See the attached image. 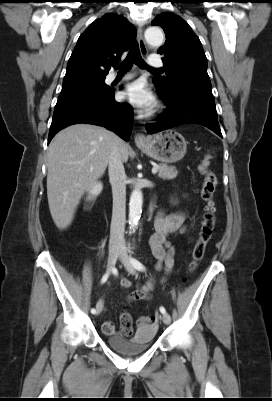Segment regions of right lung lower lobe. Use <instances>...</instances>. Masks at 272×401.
Returning <instances> with one entry per match:
<instances>
[{"label": "right lung lower lobe", "instance_id": "obj_1", "mask_svg": "<svg viewBox=\"0 0 272 401\" xmlns=\"http://www.w3.org/2000/svg\"><path fill=\"white\" fill-rule=\"evenodd\" d=\"M114 89L103 96L78 97L56 104L48 144L61 129L78 123L103 126L129 140L133 127V110L127 103L114 100Z\"/></svg>", "mask_w": 272, "mask_h": 401}]
</instances>
